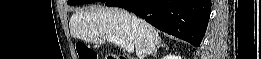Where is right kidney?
Returning a JSON list of instances; mask_svg holds the SVG:
<instances>
[{
  "mask_svg": "<svg viewBox=\"0 0 261 59\" xmlns=\"http://www.w3.org/2000/svg\"><path fill=\"white\" fill-rule=\"evenodd\" d=\"M164 59H181V57L169 55V56L164 57Z\"/></svg>",
  "mask_w": 261,
  "mask_h": 59,
  "instance_id": "ca27d5eb",
  "label": "right kidney"
}]
</instances>
